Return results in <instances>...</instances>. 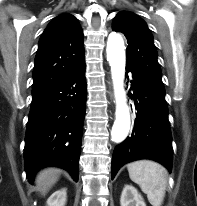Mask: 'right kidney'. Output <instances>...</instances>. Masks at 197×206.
Instances as JSON below:
<instances>
[{
  "instance_id": "ca27d5eb",
  "label": "right kidney",
  "mask_w": 197,
  "mask_h": 206,
  "mask_svg": "<svg viewBox=\"0 0 197 206\" xmlns=\"http://www.w3.org/2000/svg\"><path fill=\"white\" fill-rule=\"evenodd\" d=\"M66 203V189L54 192L47 200V206H64Z\"/></svg>"
}]
</instances>
